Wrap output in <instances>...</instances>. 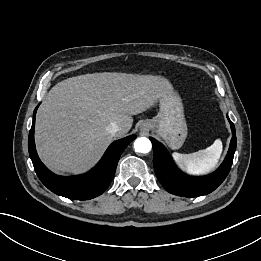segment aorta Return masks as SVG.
Here are the masks:
<instances>
[{"mask_svg": "<svg viewBox=\"0 0 261 261\" xmlns=\"http://www.w3.org/2000/svg\"><path fill=\"white\" fill-rule=\"evenodd\" d=\"M134 148L136 152L148 153L151 151V141L146 137L137 138L134 142Z\"/></svg>", "mask_w": 261, "mask_h": 261, "instance_id": "aorta-1", "label": "aorta"}]
</instances>
